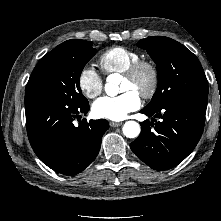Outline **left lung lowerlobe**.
Masks as SVG:
<instances>
[{"mask_svg": "<svg viewBox=\"0 0 221 221\" xmlns=\"http://www.w3.org/2000/svg\"><path fill=\"white\" fill-rule=\"evenodd\" d=\"M208 94L187 93L155 109H142L162 121L142 123L132 151L152 169L162 171L182 162L197 145L204 128ZM156 122L155 119H152Z\"/></svg>", "mask_w": 221, "mask_h": 221, "instance_id": "obj_1", "label": "left lung lower lobe"}]
</instances>
